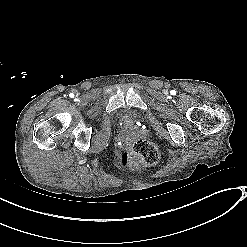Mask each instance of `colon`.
Wrapping results in <instances>:
<instances>
[{
    "mask_svg": "<svg viewBox=\"0 0 247 247\" xmlns=\"http://www.w3.org/2000/svg\"><path fill=\"white\" fill-rule=\"evenodd\" d=\"M159 161V152L156 146L145 140L137 142L133 151L122 156V164L127 168L154 165Z\"/></svg>",
    "mask_w": 247,
    "mask_h": 247,
    "instance_id": "1",
    "label": "colon"
}]
</instances>
